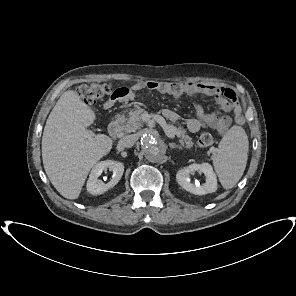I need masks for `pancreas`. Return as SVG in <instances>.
I'll return each mask as SVG.
<instances>
[{
    "label": "pancreas",
    "mask_w": 296,
    "mask_h": 296,
    "mask_svg": "<svg viewBox=\"0 0 296 296\" xmlns=\"http://www.w3.org/2000/svg\"><path fill=\"white\" fill-rule=\"evenodd\" d=\"M143 109L137 108L134 111L126 114L117 115V120L120 123V128L125 133L135 132L140 129L144 123L142 120ZM169 128L174 132V134L179 138V142L182 146L191 149L193 147V142L191 137L188 135L187 131L181 127L174 124H168Z\"/></svg>",
    "instance_id": "cf45deb5"
}]
</instances>
